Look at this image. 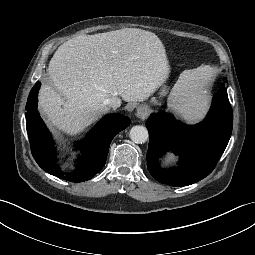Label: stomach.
I'll return each mask as SVG.
<instances>
[{"mask_svg":"<svg viewBox=\"0 0 255 255\" xmlns=\"http://www.w3.org/2000/svg\"><path fill=\"white\" fill-rule=\"evenodd\" d=\"M167 92H168L167 87H166V86H163V87L161 88L160 92H159L160 97H164V96L167 94ZM151 102H152L153 104H158V100H157L156 98H154V97L151 99Z\"/></svg>","mask_w":255,"mask_h":255,"instance_id":"0dacf381","label":"stomach"}]
</instances>
